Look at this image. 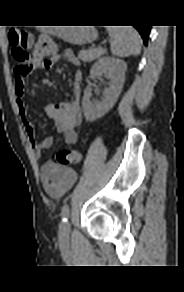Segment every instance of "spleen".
<instances>
[{
	"instance_id": "spleen-1",
	"label": "spleen",
	"mask_w": 184,
	"mask_h": 292,
	"mask_svg": "<svg viewBox=\"0 0 184 292\" xmlns=\"http://www.w3.org/2000/svg\"><path fill=\"white\" fill-rule=\"evenodd\" d=\"M112 39L111 52L121 58L138 56L141 52L142 40L139 33L131 26L108 27Z\"/></svg>"
}]
</instances>
